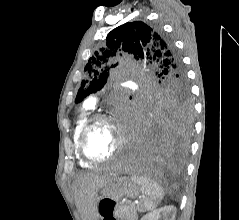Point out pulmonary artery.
Wrapping results in <instances>:
<instances>
[{
  "mask_svg": "<svg viewBox=\"0 0 239 220\" xmlns=\"http://www.w3.org/2000/svg\"><path fill=\"white\" fill-rule=\"evenodd\" d=\"M96 102H97V98L95 96H91L85 100L84 106L87 109H91V108H94V106L96 105Z\"/></svg>",
  "mask_w": 239,
  "mask_h": 220,
  "instance_id": "1",
  "label": "pulmonary artery"
}]
</instances>
